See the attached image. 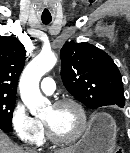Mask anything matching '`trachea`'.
Masks as SVG:
<instances>
[{
	"mask_svg": "<svg viewBox=\"0 0 130 153\" xmlns=\"http://www.w3.org/2000/svg\"><path fill=\"white\" fill-rule=\"evenodd\" d=\"M51 18H44V17H42V22L44 23V24H49L50 22H51Z\"/></svg>",
	"mask_w": 130,
	"mask_h": 153,
	"instance_id": "1",
	"label": "trachea"
}]
</instances>
